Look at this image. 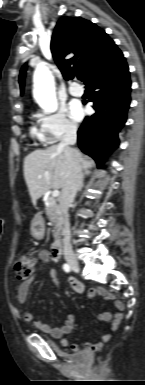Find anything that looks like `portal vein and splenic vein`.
I'll list each match as a JSON object with an SVG mask.
<instances>
[{"instance_id": "18ae733b", "label": "portal vein and splenic vein", "mask_w": 145, "mask_h": 385, "mask_svg": "<svg viewBox=\"0 0 145 385\" xmlns=\"http://www.w3.org/2000/svg\"><path fill=\"white\" fill-rule=\"evenodd\" d=\"M39 178H41V176H39ZM60 195V192L59 190L55 189L53 192H52V197L53 198H56Z\"/></svg>"}]
</instances>
